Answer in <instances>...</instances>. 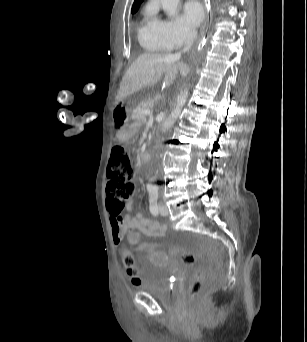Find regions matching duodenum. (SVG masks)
Instances as JSON below:
<instances>
[{
  "label": "duodenum",
  "mask_w": 307,
  "mask_h": 342,
  "mask_svg": "<svg viewBox=\"0 0 307 342\" xmlns=\"http://www.w3.org/2000/svg\"><path fill=\"white\" fill-rule=\"evenodd\" d=\"M141 163L145 164L149 161V154L146 151H143L140 155Z\"/></svg>",
  "instance_id": "duodenum-1"
}]
</instances>
